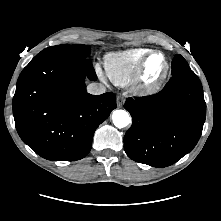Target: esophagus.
I'll use <instances>...</instances> for the list:
<instances>
[{"mask_svg":"<svg viewBox=\"0 0 221 221\" xmlns=\"http://www.w3.org/2000/svg\"><path fill=\"white\" fill-rule=\"evenodd\" d=\"M125 99L123 96H118L117 97V106L121 108L124 105Z\"/></svg>","mask_w":221,"mask_h":221,"instance_id":"obj_1","label":"esophagus"}]
</instances>
